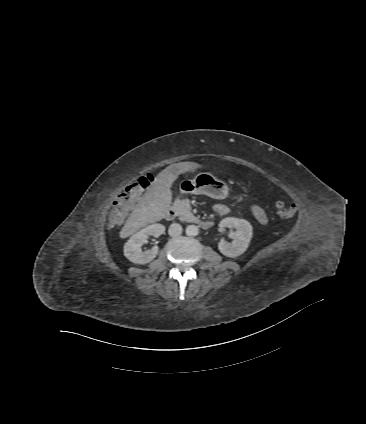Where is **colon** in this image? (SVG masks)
Listing matches in <instances>:
<instances>
[{
    "mask_svg": "<svg viewBox=\"0 0 366 424\" xmlns=\"http://www.w3.org/2000/svg\"><path fill=\"white\" fill-rule=\"evenodd\" d=\"M153 180L154 176L152 174H146L125 188L123 193L116 198L109 212L107 219L108 227L113 228L122 223L131 205L138 199L142 191L153 182ZM275 208L277 215L282 219L292 218L297 211L294 204L287 205L283 201H277Z\"/></svg>",
    "mask_w": 366,
    "mask_h": 424,
    "instance_id": "5ec220e1",
    "label": "colon"
}]
</instances>
